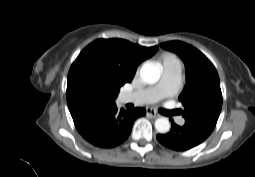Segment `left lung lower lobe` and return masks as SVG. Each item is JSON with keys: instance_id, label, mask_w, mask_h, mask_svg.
Returning <instances> with one entry per match:
<instances>
[{"instance_id": "1", "label": "left lung lower lobe", "mask_w": 255, "mask_h": 177, "mask_svg": "<svg viewBox=\"0 0 255 177\" xmlns=\"http://www.w3.org/2000/svg\"><path fill=\"white\" fill-rule=\"evenodd\" d=\"M172 127L167 134H158L157 140L167 148L175 151L189 150L202 143L209 135L192 129L187 125L178 126L171 120Z\"/></svg>"}]
</instances>
